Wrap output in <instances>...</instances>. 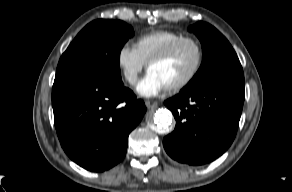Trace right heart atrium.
Instances as JSON below:
<instances>
[{"instance_id":"d8ad5b80","label":"right heart atrium","mask_w":292,"mask_h":192,"mask_svg":"<svg viewBox=\"0 0 292 192\" xmlns=\"http://www.w3.org/2000/svg\"><path fill=\"white\" fill-rule=\"evenodd\" d=\"M116 63L124 80L131 86L135 85L138 76L145 66L136 48L123 44L117 51Z\"/></svg>"}]
</instances>
